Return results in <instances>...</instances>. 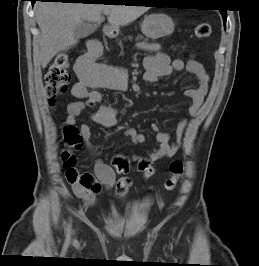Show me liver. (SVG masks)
<instances>
[{
    "mask_svg": "<svg viewBox=\"0 0 259 266\" xmlns=\"http://www.w3.org/2000/svg\"><path fill=\"white\" fill-rule=\"evenodd\" d=\"M36 21L41 31L39 60L45 68L60 51L77 44L75 28L82 22H101V13L109 11L112 29L125 26L148 11L145 6L104 5L62 2H37Z\"/></svg>",
    "mask_w": 259,
    "mask_h": 266,
    "instance_id": "obj_1",
    "label": "liver"
}]
</instances>
